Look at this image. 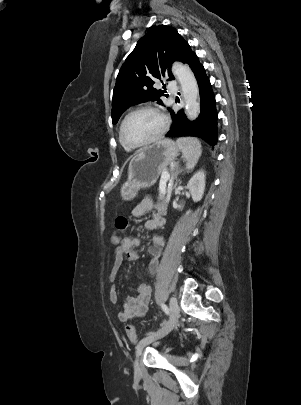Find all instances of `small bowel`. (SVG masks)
<instances>
[{
    "instance_id": "small-bowel-1",
    "label": "small bowel",
    "mask_w": 301,
    "mask_h": 405,
    "mask_svg": "<svg viewBox=\"0 0 301 405\" xmlns=\"http://www.w3.org/2000/svg\"><path fill=\"white\" fill-rule=\"evenodd\" d=\"M145 214H150V218L146 221L145 227L153 233V245L147 250L149 255L148 274L154 275L158 270L162 248L165 245L164 238L154 232L165 223L164 210H155L153 202L145 198L132 210V216L140 217ZM122 239L120 245L115 248L114 261L108 276L110 282L109 297L113 304H117L118 302V293L116 290L117 274L124 261L132 262L138 259V250L141 243L136 237H122ZM150 300L151 287L145 283L139 284L136 289V295L127 296L122 306L118 308V319L125 322L144 316L148 311Z\"/></svg>"
}]
</instances>
